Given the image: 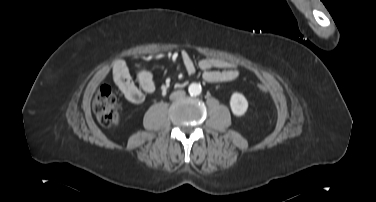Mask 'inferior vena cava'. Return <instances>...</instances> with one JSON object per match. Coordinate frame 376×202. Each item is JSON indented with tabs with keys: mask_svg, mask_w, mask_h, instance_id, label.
I'll list each match as a JSON object with an SVG mask.
<instances>
[{
	"mask_svg": "<svg viewBox=\"0 0 376 202\" xmlns=\"http://www.w3.org/2000/svg\"><path fill=\"white\" fill-rule=\"evenodd\" d=\"M184 95H185V91L179 90V91H176V92L172 93L171 96H170V98L171 99H176V98L183 97Z\"/></svg>",
	"mask_w": 376,
	"mask_h": 202,
	"instance_id": "obj_1",
	"label": "inferior vena cava"
}]
</instances>
